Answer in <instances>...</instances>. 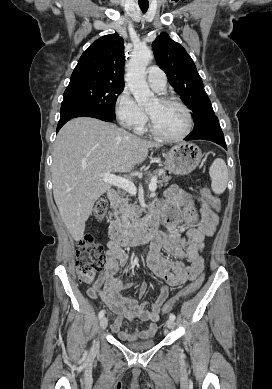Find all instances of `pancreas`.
Returning <instances> with one entry per match:
<instances>
[{
  "mask_svg": "<svg viewBox=\"0 0 272 389\" xmlns=\"http://www.w3.org/2000/svg\"><path fill=\"white\" fill-rule=\"evenodd\" d=\"M158 176L160 177L158 181L160 187L167 184L170 179L163 170L159 171ZM124 196L125 193H121L115 201L111 202V208L113 209L111 215L115 217L116 223H122V226L125 227L128 225V220L134 221L137 205H131L128 196Z\"/></svg>",
  "mask_w": 272,
  "mask_h": 389,
  "instance_id": "pancreas-1",
  "label": "pancreas"
}]
</instances>
